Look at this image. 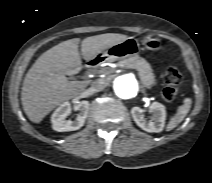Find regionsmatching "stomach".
<instances>
[{
  "label": "stomach",
  "instance_id": "stomach-1",
  "mask_svg": "<svg viewBox=\"0 0 212 183\" xmlns=\"http://www.w3.org/2000/svg\"><path fill=\"white\" fill-rule=\"evenodd\" d=\"M143 46L150 51L163 49L162 41L159 38L146 37ZM140 50V44L134 37H127L105 49L102 57L109 62L126 59L135 56Z\"/></svg>",
  "mask_w": 212,
  "mask_h": 183
}]
</instances>
